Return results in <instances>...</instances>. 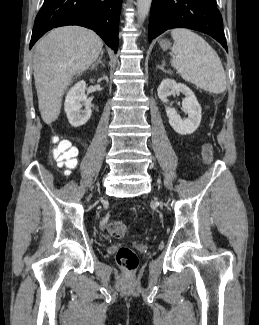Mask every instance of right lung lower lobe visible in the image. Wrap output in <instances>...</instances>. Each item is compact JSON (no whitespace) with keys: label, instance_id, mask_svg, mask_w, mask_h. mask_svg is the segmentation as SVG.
<instances>
[{"label":"right lung lower lobe","instance_id":"obj_1","mask_svg":"<svg viewBox=\"0 0 259 325\" xmlns=\"http://www.w3.org/2000/svg\"><path fill=\"white\" fill-rule=\"evenodd\" d=\"M122 0H44L36 16L30 49L52 28L80 25L94 30L115 53Z\"/></svg>","mask_w":259,"mask_h":325}]
</instances>
